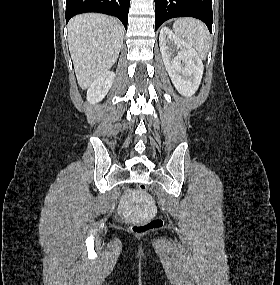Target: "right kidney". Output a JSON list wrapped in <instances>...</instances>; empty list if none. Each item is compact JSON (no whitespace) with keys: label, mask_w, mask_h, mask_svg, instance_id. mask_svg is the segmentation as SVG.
<instances>
[{"label":"right kidney","mask_w":280,"mask_h":285,"mask_svg":"<svg viewBox=\"0 0 280 285\" xmlns=\"http://www.w3.org/2000/svg\"><path fill=\"white\" fill-rule=\"evenodd\" d=\"M115 74L107 71L97 78L87 90V101L96 104L104 99L114 81Z\"/></svg>","instance_id":"1"}]
</instances>
